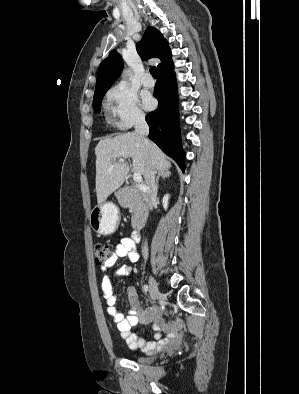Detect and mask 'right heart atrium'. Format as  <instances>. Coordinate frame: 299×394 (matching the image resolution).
<instances>
[{
  "label": "right heart atrium",
  "instance_id": "right-heart-atrium-1",
  "mask_svg": "<svg viewBox=\"0 0 299 394\" xmlns=\"http://www.w3.org/2000/svg\"><path fill=\"white\" fill-rule=\"evenodd\" d=\"M107 108L117 128L126 130L144 121L137 95L126 85L119 83L107 94Z\"/></svg>",
  "mask_w": 299,
  "mask_h": 394
}]
</instances>
